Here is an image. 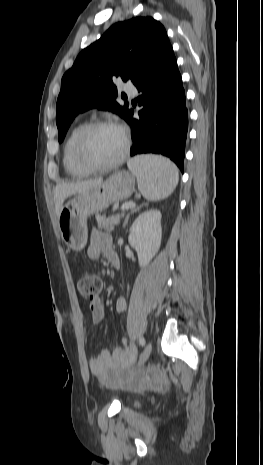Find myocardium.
Masks as SVG:
<instances>
[{"instance_id": "f54148a6", "label": "myocardium", "mask_w": 263, "mask_h": 465, "mask_svg": "<svg viewBox=\"0 0 263 465\" xmlns=\"http://www.w3.org/2000/svg\"><path fill=\"white\" fill-rule=\"evenodd\" d=\"M105 127H113L117 128L122 132L123 135V148L121 153L117 158L113 161L106 163V164H98L93 162L87 153V143L90 135L97 129L105 128ZM130 149V138L127 131L120 126L118 123L110 120H97L91 123L86 124L82 130L80 131L75 146V152L78 162L81 166L87 169L90 172H102L113 169L120 165L128 155Z\"/></svg>"}]
</instances>
